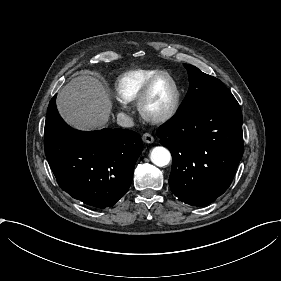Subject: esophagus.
<instances>
[{
    "mask_svg": "<svg viewBox=\"0 0 281 281\" xmlns=\"http://www.w3.org/2000/svg\"><path fill=\"white\" fill-rule=\"evenodd\" d=\"M142 139L145 143H153L154 142L153 136L149 133H144L142 135Z\"/></svg>",
    "mask_w": 281,
    "mask_h": 281,
    "instance_id": "1",
    "label": "esophagus"
}]
</instances>
